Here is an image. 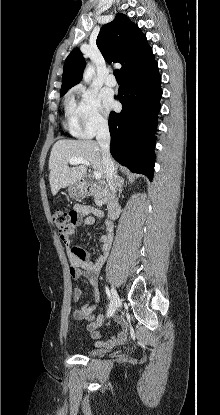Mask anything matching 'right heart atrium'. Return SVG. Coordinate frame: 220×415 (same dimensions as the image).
I'll list each match as a JSON object with an SVG mask.
<instances>
[{
    "label": "right heart atrium",
    "instance_id": "right-heart-atrium-1",
    "mask_svg": "<svg viewBox=\"0 0 220 415\" xmlns=\"http://www.w3.org/2000/svg\"><path fill=\"white\" fill-rule=\"evenodd\" d=\"M78 100L72 97L70 113L74 121L75 133L82 138H90L96 133L104 131L108 122L102 112L101 101L97 93L79 86L75 90Z\"/></svg>",
    "mask_w": 220,
    "mask_h": 415
}]
</instances>
